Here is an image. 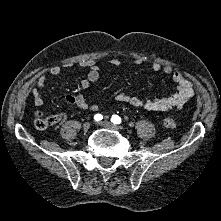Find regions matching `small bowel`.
Wrapping results in <instances>:
<instances>
[{
    "instance_id": "small-bowel-1",
    "label": "small bowel",
    "mask_w": 221,
    "mask_h": 221,
    "mask_svg": "<svg viewBox=\"0 0 221 221\" xmlns=\"http://www.w3.org/2000/svg\"><path fill=\"white\" fill-rule=\"evenodd\" d=\"M136 64H141L140 60L135 61ZM109 64L113 66H118L120 64L119 60L112 59ZM73 64L69 63L68 67ZM80 68H87L88 73L82 79L80 83L81 89H87L99 79V66L94 59H84L77 63ZM151 69L153 72H162L166 76H170L172 81L176 84V91L170 96L160 97V98H141L138 96H133L124 92H120L116 95V100L122 103H126L135 108H141L147 111H169L173 109H180L193 95L194 90L192 83L180 72L173 71L172 68L168 66H162L161 64L154 62L151 64ZM50 73L54 76L62 74V68L59 66H53L50 69ZM46 87V79L43 75L38 77L36 81V87L31 88V94L33 97V103L36 107H41L44 104V100L40 94V90ZM65 99L81 109H90L97 111L99 106L97 104H89L86 100L85 95L80 93H66ZM58 121L65 118L64 113H58L55 115Z\"/></svg>"
}]
</instances>
